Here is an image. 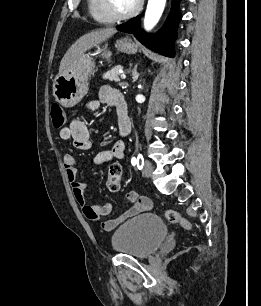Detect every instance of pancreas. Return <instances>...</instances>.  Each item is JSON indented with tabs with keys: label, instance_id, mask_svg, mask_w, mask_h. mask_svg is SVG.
Segmentation results:
<instances>
[{
	"label": "pancreas",
	"instance_id": "pancreas-1",
	"mask_svg": "<svg viewBox=\"0 0 261 306\" xmlns=\"http://www.w3.org/2000/svg\"><path fill=\"white\" fill-rule=\"evenodd\" d=\"M122 70L121 66H115L114 68H112L111 70L107 71L104 75H103V79H107L110 81H115V82H119V71Z\"/></svg>",
	"mask_w": 261,
	"mask_h": 306
}]
</instances>
